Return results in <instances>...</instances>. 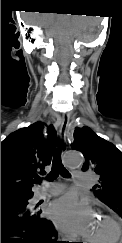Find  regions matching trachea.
<instances>
[{
	"instance_id": "3493384b",
	"label": "trachea",
	"mask_w": 122,
	"mask_h": 243,
	"mask_svg": "<svg viewBox=\"0 0 122 243\" xmlns=\"http://www.w3.org/2000/svg\"><path fill=\"white\" fill-rule=\"evenodd\" d=\"M59 174L65 178L70 177V173L66 170V168L62 164L60 152H57L53 158L51 172L46 177V179L48 181H53L59 176ZM40 182H41L40 178L35 179V183H40Z\"/></svg>"
}]
</instances>
